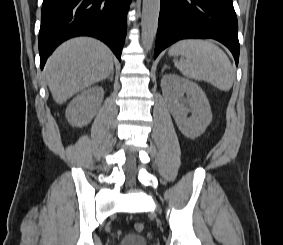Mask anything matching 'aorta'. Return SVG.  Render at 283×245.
<instances>
[{
  "mask_svg": "<svg viewBox=\"0 0 283 245\" xmlns=\"http://www.w3.org/2000/svg\"><path fill=\"white\" fill-rule=\"evenodd\" d=\"M160 12V0H143L142 7V44L146 51L152 48L157 28Z\"/></svg>",
  "mask_w": 283,
  "mask_h": 245,
  "instance_id": "obj_1",
  "label": "aorta"
}]
</instances>
